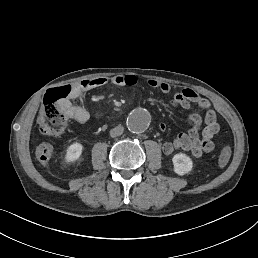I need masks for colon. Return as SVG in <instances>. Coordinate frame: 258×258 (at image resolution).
<instances>
[{
	"label": "colon",
	"mask_w": 258,
	"mask_h": 258,
	"mask_svg": "<svg viewBox=\"0 0 258 258\" xmlns=\"http://www.w3.org/2000/svg\"><path fill=\"white\" fill-rule=\"evenodd\" d=\"M72 92V85H63L52 88L46 93L37 119L39 130L43 135L59 137L65 132L68 126V117L62 106L71 97ZM230 158L231 149L229 146H225L218 155V165L226 166Z\"/></svg>",
	"instance_id": "obj_1"
}]
</instances>
